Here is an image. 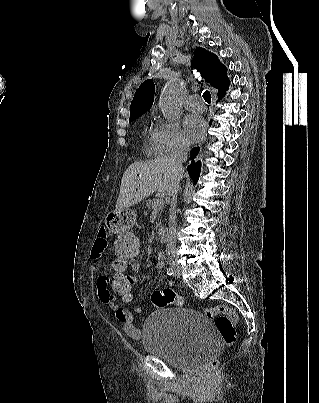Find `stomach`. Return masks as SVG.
I'll list each match as a JSON object with an SVG mask.
<instances>
[{
	"instance_id": "0dacf381",
	"label": "stomach",
	"mask_w": 319,
	"mask_h": 403,
	"mask_svg": "<svg viewBox=\"0 0 319 403\" xmlns=\"http://www.w3.org/2000/svg\"><path fill=\"white\" fill-rule=\"evenodd\" d=\"M106 226L113 234H130L135 227V214L129 209L113 210L106 216Z\"/></svg>"
}]
</instances>
